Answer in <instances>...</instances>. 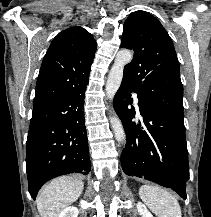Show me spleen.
Masks as SVG:
<instances>
[{
	"mask_svg": "<svg viewBox=\"0 0 211 217\" xmlns=\"http://www.w3.org/2000/svg\"><path fill=\"white\" fill-rule=\"evenodd\" d=\"M139 195L157 217H182L177 199L167 190L144 185L139 189Z\"/></svg>",
	"mask_w": 211,
	"mask_h": 217,
	"instance_id": "obj_1",
	"label": "spleen"
}]
</instances>
